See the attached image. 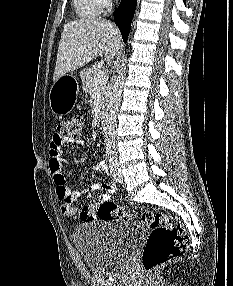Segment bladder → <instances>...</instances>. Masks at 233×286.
Here are the masks:
<instances>
[{
	"mask_svg": "<svg viewBox=\"0 0 233 286\" xmlns=\"http://www.w3.org/2000/svg\"><path fill=\"white\" fill-rule=\"evenodd\" d=\"M145 230L138 221L90 222L75 229L74 241L90 272L109 273L126 267Z\"/></svg>",
	"mask_w": 233,
	"mask_h": 286,
	"instance_id": "1",
	"label": "bladder"
}]
</instances>
